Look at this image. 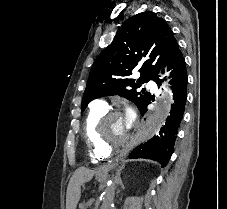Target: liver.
<instances>
[{
  "instance_id": "liver-1",
  "label": "liver",
  "mask_w": 227,
  "mask_h": 209,
  "mask_svg": "<svg viewBox=\"0 0 227 209\" xmlns=\"http://www.w3.org/2000/svg\"><path fill=\"white\" fill-rule=\"evenodd\" d=\"M94 175V171H89V169H85V167H79L76 169L73 177H71L67 189V201H66V209H76V205L80 199V183H84V181H90Z\"/></svg>"
}]
</instances>
